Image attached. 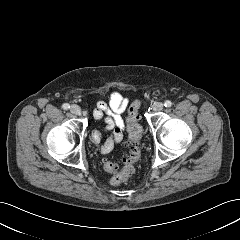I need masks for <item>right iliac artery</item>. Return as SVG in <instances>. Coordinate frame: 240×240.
Masks as SVG:
<instances>
[{"instance_id": "right-iliac-artery-1", "label": "right iliac artery", "mask_w": 240, "mask_h": 240, "mask_svg": "<svg viewBox=\"0 0 240 240\" xmlns=\"http://www.w3.org/2000/svg\"><path fill=\"white\" fill-rule=\"evenodd\" d=\"M62 108H63L64 110H68V109L70 108V105H69L68 103H64V104L62 105Z\"/></svg>"}]
</instances>
